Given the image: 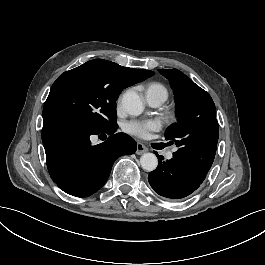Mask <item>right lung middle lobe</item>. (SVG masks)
<instances>
[{
    "label": "right lung middle lobe",
    "instance_id": "obj_1",
    "mask_svg": "<svg viewBox=\"0 0 265 265\" xmlns=\"http://www.w3.org/2000/svg\"><path fill=\"white\" fill-rule=\"evenodd\" d=\"M135 83V75L118 64L90 60L58 77L44 104L43 116H63L97 133L115 130V101L122 89Z\"/></svg>",
    "mask_w": 265,
    "mask_h": 265
}]
</instances>
